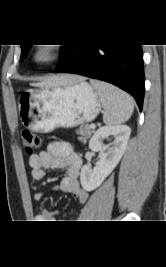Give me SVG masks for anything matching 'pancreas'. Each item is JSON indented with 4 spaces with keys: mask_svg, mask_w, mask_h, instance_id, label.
<instances>
[{
    "mask_svg": "<svg viewBox=\"0 0 166 267\" xmlns=\"http://www.w3.org/2000/svg\"><path fill=\"white\" fill-rule=\"evenodd\" d=\"M93 132L94 131L90 128L89 125H82L77 130V133L80 135L79 140L83 143L87 142Z\"/></svg>",
    "mask_w": 166,
    "mask_h": 267,
    "instance_id": "cf45deb5",
    "label": "pancreas"
}]
</instances>
